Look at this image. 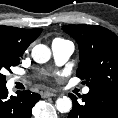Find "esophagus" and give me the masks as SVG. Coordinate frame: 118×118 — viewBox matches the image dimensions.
Returning a JSON list of instances; mask_svg holds the SVG:
<instances>
[{
	"mask_svg": "<svg viewBox=\"0 0 118 118\" xmlns=\"http://www.w3.org/2000/svg\"><path fill=\"white\" fill-rule=\"evenodd\" d=\"M57 96L56 92H52V91H45L42 93V97L47 98V97H54Z\"/></svg>",
	"mask_w": 118,
	"mask_h": 118,
	"instance_id": "obj_1",
	"label": "esophagus"
}]
</instances>
